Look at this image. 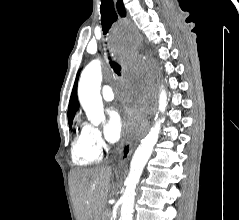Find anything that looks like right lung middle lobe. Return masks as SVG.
<instances>
[{"label":"right lung middle lobe","mask_w":239,"mask_h":220,"mask_svg":"<svg viewBox=\"0 0 239 220\" xmlns=\"http://www.w3.org/2000/svg\"><path fill=\"white\" fill-rule=\"evenodd\" d=\"M73 119L69 120V126L71 127Z\"/></svg>","instance_id":"1"}]
</instances>
